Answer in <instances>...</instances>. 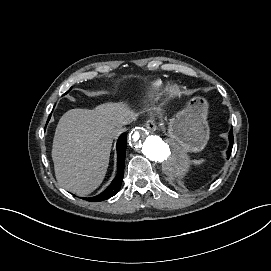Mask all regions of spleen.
I'll return each instance as SVG.
<instances>
[{
    "label": "spleen",
    "instance_id": "1",
    "mask_svg": "<svg viewBox=\"0 0 271 271\" xmlns=\"http://www.w3.org/2000/svg\"><path fill=\"white\" fill-rule=\"evenodd\" d=\"M204 162L203 159H200V160H193L191 161V163L195 164V165H199V164H202Z\"/></svg>",
    "mask_w": 271,
    "mask_h": 271
}]
</instances>
